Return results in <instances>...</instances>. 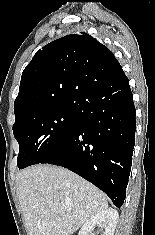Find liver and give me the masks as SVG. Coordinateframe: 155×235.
Returning a JSON list of instances; mask_svg holds the SVG:
<instances>
[{
    "label": "liver",
    "mask_w": 155,
    "mask_h": 235,
    "mask_svg": "<svg viewBox=\"0 0 155 235\" xmlns=\"http://www.w3.org/2000/svg\"><path fill=\"white\" fill-rule=\"evenodd\" d=\"M16 189L29 235H72L108 209L99 189L62 167L26 168L16 175Z\"/></svg>",
    "instance_id": "1"
}]
</instances>
